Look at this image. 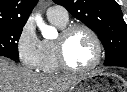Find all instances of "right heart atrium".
I'll use <instances>...</instances> for the list:
<instances>
[{
  "mask_svg": "<svg viewBox=\"0 0 127 92\" xmlns=\"http://www.w3.org/2000/svg\"><path fill=\"white\" fill-rule=\"evenodd\" d=\"M16 51L21 65L38 70L42 61V44L31 23H26L16 40Z\"/></svg>",
  "mask_w": 127,
  "mask_h": 92,
  "instance_id": "right-heart-atrium-1",
  "label": "right heart atrium"
}]
</instances>
